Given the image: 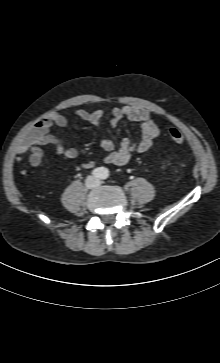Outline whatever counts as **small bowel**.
<instances>
[{
	"label": "small bowel",
	"mask_w": 220,
	"mask_h": 363,
	"mask_svg": "<svg viewBox=\"0 0 220 363\" xmlns=\"http://www.w3.org/2000/svg\"><path fill=\"white\" fill-rule=\"evenodd\" d=\"M108 113L112 115L111 126L113 128L122 119L136 122L141 128V138L137 142H132L124 138L121 140L119 146H116L109 138L102 140L101 145L107 151L105 161L108 164L116 166L126 164L134 154L146 152L152 146L154 139L160 134V129L150 113L140 107L125 106L114 108L110 111L106 109H98L95 111L79 109L74 113V116L93 125H98ZM67 125L68 118L58 113L39 121L29 132L26 142L19 147V158L24 159L26 156H29L31 165L34 167L39 166L45 159V153L41 149L43 145H53L56 156L69 159L76 158L79 155V151L76 148L65 147L60 139L49 133L50 128L53 126L66 127ZM93 165V161H86L81 164V167L89 169Z\"/></svg>",
	"instance_id": "c3829d8e"
}]
</instances>
